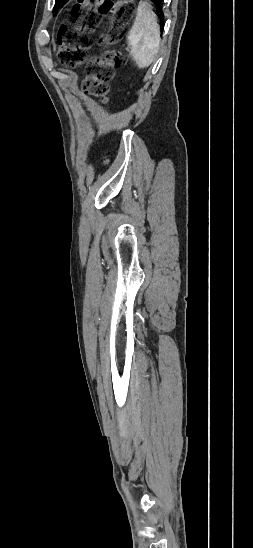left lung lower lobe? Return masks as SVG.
Returning a JSON list of instances; mask_svg holds the SVG:
<instances>
[{"mask_svg":"<svg viewBox=\"0 0 253 548\" xmlns=\"http://www.w3.org/2000/svg\"><path fill=\"white\" fill-rule=\"evenodd\" d=\"M69 0H61L60 3H58L57 5H55L54 7V11H57L59 8L63 7L64 4H66ZM155 6L157 7V10L158 11H162V7H163V0H151ZM162 14V17H163V13ZM161 26H163V20H161Z\"/></svg>","mask_w":253,"mask_h":548,"instance_id":"0a47b994","label":"left lung lower lobe"}]
</instances>
